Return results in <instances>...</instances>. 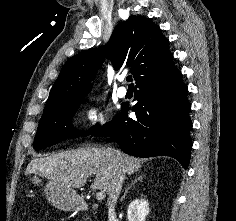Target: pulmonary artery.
Masks as SVG:
<instances>
[{
    "label": "pulmonary artery",
    "mask_w": 236,
    "mask_h": 221,
    "mask_svg": "<svg viewBox=\"0 0 236 221\" xmlns=\"http://www.w3.org/2000/svg\"><path fill=\"white\" fill-rule=\"evenodd\" d=\"M124 81V78L121 79V82ZM117 94L119 97L123 98L127 95V88L124 86H120L117 90Z\"/></svg>",
    "instance_id": "e3ab8cb5"
}]
</instances>
